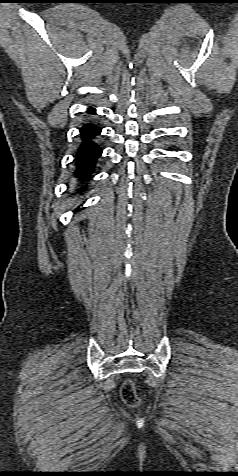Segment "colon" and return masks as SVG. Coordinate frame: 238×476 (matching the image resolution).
Listing matches in <instances>:
<instances>
[{
    "label": "colon",
    "instance_id": "1",
    "mask_svg": "<svg viewBox=\"0 0 238 476\" xmlns=\"http://www.w3.org/2000/svg\"><path fill=\"white\" fill-rule=\"evenodd\" d=\"M121 397L124 402L130 406L136 405L138 403V396L136 394L134 385L130 380H127L123 383L121 388Z\"/></svg>",
    "mask_w": 238,
    "mask_h": 476
}]
</instances>
